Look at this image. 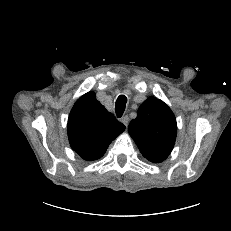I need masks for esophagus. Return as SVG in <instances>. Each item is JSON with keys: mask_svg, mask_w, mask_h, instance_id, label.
Wrapping results in <instances>:
<instances>
[{"mask_svg": "<svg viewBox=\"0 0 231 231\" xmlns=\"http://www.w3.org/2000/svg\"><path fill=\"white\" fill-rule=\"evenodd\" d=\"M121 122L127 127L129 122V117L128 116L122 117Z\"/></svg>", "mask_w": 231, "mask_h": 231, "instance_id": "esophagus-1", "label": "esophagus"}]
</instances>
